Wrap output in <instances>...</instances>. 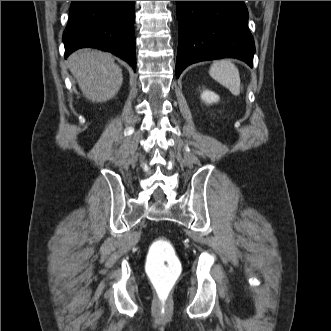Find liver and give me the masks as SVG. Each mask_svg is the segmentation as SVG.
Wrapping results in <instances>:
<instances>
[{
  "label": "liver",
  "mask_w": 331,
  "mask_h": 331,
  "mask_svg": "<svg viewBox=\"0 0 331 331\" xmlns=\"http://www.w3.org/2000/svg\"><path fill=\"white\" fill-rule=\"evenodd\" d=\"M84 96L92 102H105L119 91L123 75L111 54L93 49H80L67 60Z\"/></svg>",
  "instance_id": "6515ba94"
}]
</instances>
